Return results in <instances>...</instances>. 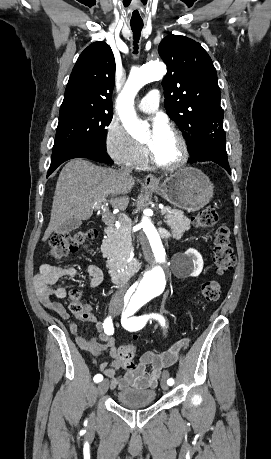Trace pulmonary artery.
<instances>
[{
    "label": "pulmonary artery",
    "mask_w": 271,
    "mask_h": 459,
    "mask_svg": "<svg viewBox=\"0 0 271 459\" xmlns=\"http://www.w3.org/2000/svg\"><path fill=\"white\" fill-rule=\"evenodd\" d=\"M161 101L159 89H150L149 95H144V98L139 99L138 109L145 113H153L157 110Z\"/></svg>",
    "instance_id": "e3ab8cb5"
}]
</instances>
